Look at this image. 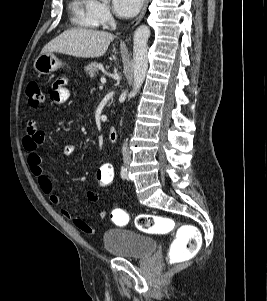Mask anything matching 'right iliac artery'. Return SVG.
<instances>
[{"instance_id":"obj_1","label":"right iliac artery","mask_w":267,"mask_h":301,"mask_svg":"<svg viewBox=\"0 0 267 301\" xmlns=\"http://www.w3.org/2000/svg\"><path fill=\"white\" fill-rule=\"evenodd\" d=\"M120 174H121V178L123 180L127 179V176H128L127 168L122 166Z\"/></svg>"}]
</instances>
